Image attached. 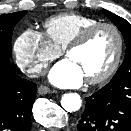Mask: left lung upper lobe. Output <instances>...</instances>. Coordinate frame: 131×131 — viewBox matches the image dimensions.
Wrapping results in <instances>:
<instances>
[{
  "label": "left lung upper lobe",
  "instance_id": "1",
  "mask_svg": "<svg viewBox=\"0 0 131 131\" xmlns=\"http://www.w3.org/2000/svg\"><path fill=\"white\" fill-rule=\"evenodd\" d=\"M103 13L118 27L121 31L125 44H126V54L124 61L116 74L114 75L112 81H119L125 78H131V24L125 19L107 11L103 10Z\"/></svg>",
  "mask_w": 131,
  "mask_h": 131
}]
</instances>
